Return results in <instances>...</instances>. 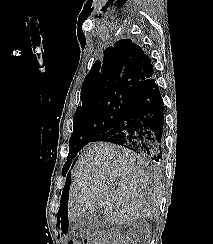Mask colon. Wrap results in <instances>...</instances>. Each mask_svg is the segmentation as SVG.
I'll return each mask as SVG.
<instances>
[{
	"label": "colon",
	"instance_id": "5ec220e1",
	"mask_svg": "<svg viewBox=\"0 0 213 244\" xmlns=\"http://www.w3.org/2000/svg\"><path fill=\"white\" fill-rule=\"evenodd\" d=\"M68 244H79V243L74 241H69ZM85 244H89L88 239H85ZM95 244H113V243H111L107 237L102 235H97L95 239Z\"/></svg>",
	"mask_w": 213,
	"mask_h": 244
}]
</instances>
